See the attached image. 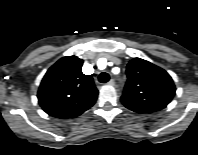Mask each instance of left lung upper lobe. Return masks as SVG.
Here are the masks:
<instances>
[{"mask_svg":"<svg viewBox=\"0 0 198 155\" xmlns=\"http://www.w3.org/2000/svg\"><path fill=\"white\" fill-rule=\"evenodd\" d=\"M127 77L122 103L138 113L164 109L175 95L171 76L162 68L140 58L127 65Z\"/></svg>","mask_w":198,"mask_h":155,"instance_id":"left-lung-upper-lobe-1","label":"left lung upper lobe"}]
</instances>
